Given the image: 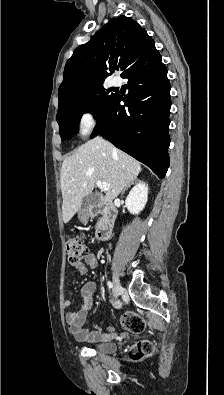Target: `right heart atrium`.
Instances as JSON below:
<instances>
[{"instance_id":"1","label":"right heart atrium","mask_w":224,"mask_h":395,"mask_svg":"<svg viewBox=\"0 0 224 395\" xmlns=\"http://www.w3.org/2000/svg\"><path fill=\"white\" fill-rule=\"evenodd\" d=\"M98 112L93 106H86L77 118V128L81 135L89 134L97 125Z\"/></svg>"}]
</instances>
